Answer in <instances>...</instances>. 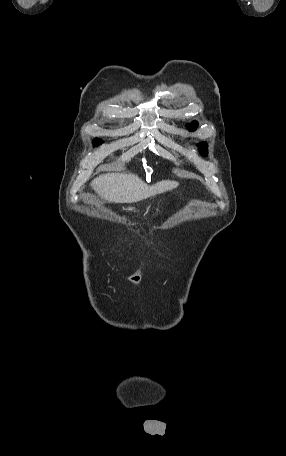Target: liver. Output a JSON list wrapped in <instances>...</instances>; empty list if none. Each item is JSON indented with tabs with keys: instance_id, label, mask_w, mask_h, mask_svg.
<instances>
[{
	"instance_id": "obj_1",
	"label": "liver",
	"mask_w": 286,
	"mask_h": 456,
	"mask_svg": "<svg viewBox=\"0 0 286 456\" xmlns=\"http://www.w3.org/2000/svg\"><path fill=\"white\" fill-rule=\"evenodd\" d=\"M176 181L163 180L146 185L131 173H108L94 179L93 189L105 200L115 203H134L176 188Z\"/></svg>"
}]
</instances>
